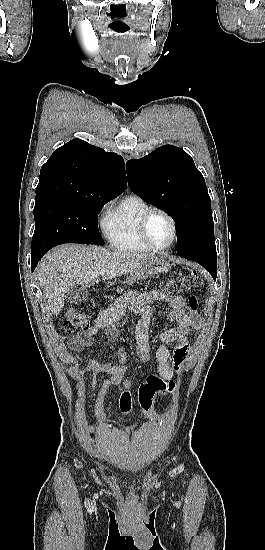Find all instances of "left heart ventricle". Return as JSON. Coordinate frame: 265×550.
Wrapping results in <instances>:
<instances>
[{
    "instance_id": "b2bd125f",
    "label": "left heart ventricle",
    "mask_w": 265,
    "mask_h": 550,
    "mask_svg": "<svg viewBox=\"0 0 265 550\" xmlns=\"http://www.w3.org/2000/svg\"><path fill=\"white\" fill-rule=\"evenodd\" d=\"M148 234L156 245L168 244L172 239V228L169 220L162 214H153L148 222Z\"/></svg>"
}]
</instances>
